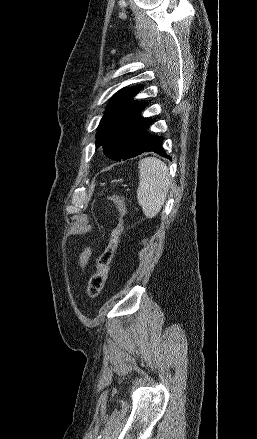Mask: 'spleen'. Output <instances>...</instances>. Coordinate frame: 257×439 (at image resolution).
I'll return each instance as SVG.
<instances>
[{"instance_id": "obj_1", "label": "spleen", "mask_w": 257, "mask_h": 439, "mask_svg": "<svg viewBox=\"0 0 257 439\" xmlns=\"http://www.w3.org/2000/svg\"><path fill=\"white\" fill-rule=\"evenodd\" d=\"M137 200L145 216L154 218L161 210L169 191L170 176L164 162L155 157L139 162Z\"/></svg>"}]
</instances>
